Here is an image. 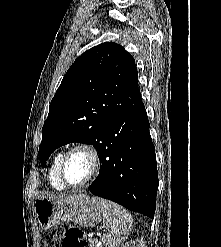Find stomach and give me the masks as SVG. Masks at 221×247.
<instances>
[{
  "label": "stomach",
  "mask_w": 221,
  "mask_h": 247,
  "mask_svg": "<svg viewBox=\"0 0 221 247\" xmlns=\"http://www.w3.org/2000/svg\"><path fill=\"white\" fill-rule=\"evenodd\" d=\"M105 202L86 194L41 197L35 201L34 212L40 227L45 230L63 221L93 227L101 220Z\"/></svg>",
  "instance_id": "0dacf381"
}]
</instances>
